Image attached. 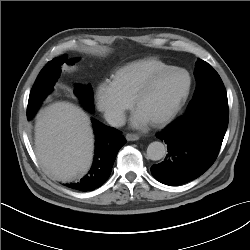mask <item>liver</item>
<instances>
[{"instance_id":"obj_1","label":"liver","mask_w":250,"mask_h":250,"mask_svg":"<svg viewBox=\"0 0 250 250\" xmlns=\"http://www.w3.org/2000/svg\"><path fill=\"white\" fill-rule=\"evenodd\" d=\"M89 116L69 102H55L37 115L35 153L45 171L57 180L84 175L93 157Z\"/></svg>"}]
</instances>
